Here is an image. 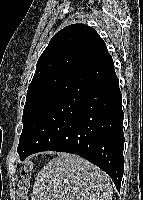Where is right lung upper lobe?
I'll return each mask as SVG.
<instances>
[{"instance_id": "obj_1", "label": "right lung upper lobe", "mask_w": 143, "mask_h": 200, "mask_svg": "<svg viewBox=\"0 0 143 200\" xmlns=\"http://www.w3.org/2000/svg\"><path fill=\"white\" fill-rule=\"evenodd\" d=\"M105 42L84 24H72L57 32L38 59L32 81L62 74L71 75L106 57Z\"/></svg>"}]
</instances>
